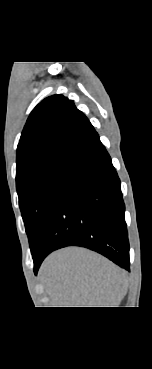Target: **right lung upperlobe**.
Listing matches in <instances>:
<instances>
[{
    "mask_svg": "<svg viewBox=\"0 0 152 369\" xmlns=\"http://www.w3.org/2000/svg\"><path fill=\"white\" fill-rule=\"evenodd\" d=\"M100 141L72 100L53 95L31 112L17 147L16 181L26 173L60 161L76 163Z\"/></svg>",
    "mask_w": 152,
    "mask_h": 369,
    "instance_id": "obj_1",
    "label": "right lung upper lobe"
}]
</instances>
